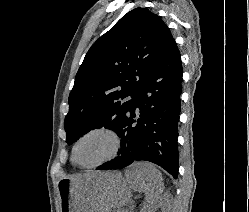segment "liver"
I'll list each match as a JSON object with an SVG mask.
<instances>
[{
	"mask_svg": "<svg viewBox=\"0 0 249 212\" xmlns=\"http://www.w3.org/2000/svg\"><path fill=\"white\" fill-rule=\"evenodd\" d=\"M152 170H156L153 164H146V162H137V164H131L125 170V176L121 174H114V172H88L81 178H98L100 192L105 200L106 210L105 212H111V208H122L126 206L131 200V190L139 192V194H145L146 202H149V206H153L156 202V194L162 192V176H154ZM154 184H159V190L152 192L153 196H149V188H154ZM144 208H147L144 204ZM149 212V210H146Z\"/></svg>",
	"mask_w": 249,
	"mask_h": 212,
	"instance_id": "6515ba94",
	"label": "liver"
}]
</instances>
